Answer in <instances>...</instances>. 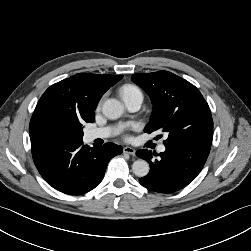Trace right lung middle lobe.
Masks as SVG:
<instances>
[{
    "label": "right lung middle lobe",
    "instance_id": "obj_1",
    "mask_svg": "<svg viewBox=\"0 0 251 251\" xmlns=\"http://www.w3.org/2000/svg\"><path fill=\"white\" fill-rule=\"evenodd\" d=\"M70 136V133L65 132L64 130L61 131L60 135H59V139L60 140H64L67 139ZM80 138L83 137V132L81 131L80 134L78 135Z\"/></svg>",
    "mask_w": 251,
    "mask_h": 251
}]
</instances>
